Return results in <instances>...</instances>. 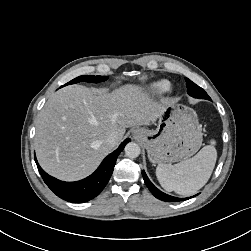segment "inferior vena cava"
<instances>
[{
    "label": "inferior vena cava",
    "instance_id": "602c4592",
    "mask_svg": "<svg viewBox=\"0 0 251 251\" xmlns=\"http://www.w3.org/2000/svg\"><path fill=\"white\" fill-rule=\"evenodd\" d=\"M106 141L110 144V145H115L116 141H117V134L115 133H111L108 135Z\"/></svg>",
    "mask_w": 251,
    "mask_h": 251
}]
</instances>
